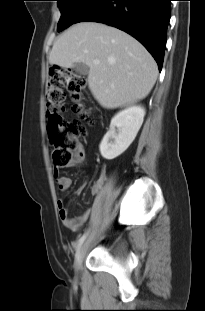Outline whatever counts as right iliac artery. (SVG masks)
Segmentation results:
<instances>
[{
	"label": "right iliac artery",
	"instance_id": "1",
	"mask_svg": "<svg viewBox=\"0 0 205 311\" xmlns=\"http://www.w3.org/2000/svg\"><path fill=\"white\" fill-rule=\"evenodd\" d=\"M87 237V232H85L77 241V246L79 247Z\"/></svg>",
	"mask_w": 205,
	"mask_h": 311
}]
</instances>
